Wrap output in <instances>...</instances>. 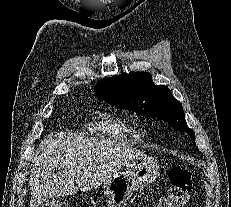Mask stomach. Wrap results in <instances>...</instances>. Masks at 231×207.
I'll list each match as a JSON object with an SVG mask.
<instances>
[{
    "instance_id": "obj_1",
    "label": "stomach",
    "mask_w": 231,
    "mask_h": 207,
    "mask_svg": "<svg viewBox=\"0 0 231 207\" xmlns=\"http://www.w3.org/2000/svg\"><path fill=\"white\" fill-rule=\"evenodd\" d=\"M159 171L153 157L143 155L130 162L125 171L116 172L104 182L103 197L108 207H123L135 191L153 183Z\"/></svg>"
}]
</instances>
